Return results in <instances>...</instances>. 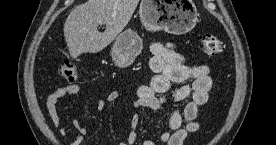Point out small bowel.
Listing matches in <instances>:
<instances>
[{"label":"small bowel","instance_id":"obj_1","mask_svg":"<svg viewBox=\"0 0 276 145\" xmlns=\"http://www.w3.org/2000/svg\"><path fill=\"white\" fill-rule=\"evenodd\" d=\"M150 70L154 75L149 83L139 86L133 106L136 109L147 108L157 116H164L167 122V131L159 136L158 141L165 145H183L190 133L199 129L198 113L200 106L207 103L209 93L213 86L210 77V68L205 64L187 65L185 57L177 46L172 43H152L150 46ZM189 81L190 83L185 84ZM174 84H180L172 89ZM77 85H66L48 95L45 99V109L52 126L64 136H71V145H81L83 138L88 133L87 127L79 120L72 121L76 134L71 135L64 126L57 108L60 99L78 94ZM171 92L170 98L168 93ZM120 98V92L112 90L106 100H99L97 108L104 110L107 103H112ZM186 101L183 106H168L169 101ZM140 114L135 113L130 119V131L126 140L119 145H135L140 124ZM152 140L144 141L143 145H155Z\"/></svg>","mask_w":276,"mask_h":145}]
</instances>
